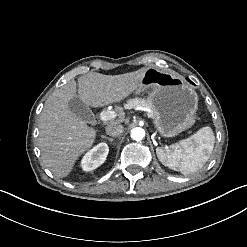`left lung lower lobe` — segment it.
<instances>
[{
	"label": "left lung lower lobe",
	"instance_id": "obj_1",
	"mask_svg": "<svg viewBox=\"0 0 247 247\" xmlns=\"http://www.w3.org/2000/svg\"><path fill=\"white\" fill-rule=\"evenodd\" d=\"M190 83H192L189 79H187Z\"/></svg>",
	"mask_w": 247,
	"mask_h": 247
}]
</instances>
